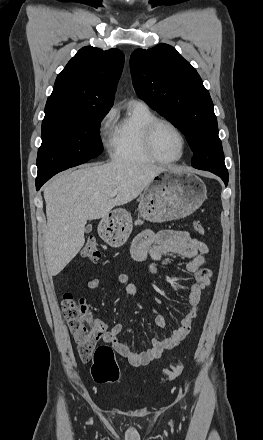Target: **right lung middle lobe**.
Here are the masks:
<instances>
[{"label":"right lung middle lobe","mask_w":263,"mask_h":440,"mask_svg":"<svg viewBox=\"0 0 263 440\" xmlns=\"http://www.w3.org/2000/svg\"><path fill=\"white\" fill-rule=\"evenodd\" d=\"M107 113L95 110L45 115L37 156V178L52 177L97 157L103 151L100 123Z\"/></svg>","instance_id":"right-lung-middle-lobe-1"}]
</instances>
